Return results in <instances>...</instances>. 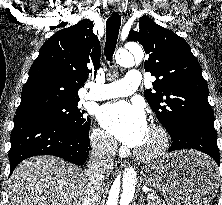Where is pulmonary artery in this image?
Wrapping results in <instances>:
<instances>
[{
	"label": "pulmonary artery",
	"mask_w": 222,
	"mask_h": 205,
	"mask_svg": "<svg viewBox=\"0 0 222 205\" xmlns=\"http://www.w3.org/2000/svg\"><path fill=\"white\" fill-rule=\"evenodd\" d=\"M140 84L139 71L130 69L125 78L113 83L96 84L88 91L87 98L90 100H107L133 94Z\"/></svg>",
	"instance_id": "1"
}]
</instances>
